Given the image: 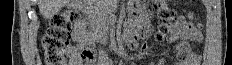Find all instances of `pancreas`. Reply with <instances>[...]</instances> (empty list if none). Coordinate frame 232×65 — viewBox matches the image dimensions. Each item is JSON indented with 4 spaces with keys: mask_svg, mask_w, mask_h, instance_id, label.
Instances as JSON below:
<instances>
[{
    "mask_svg": "<svg viewBox=\"0 0 232 65\" xmlns=\"http://www.w3.org/2000/svg\"><path fill=\"white\" fill-rule=\"evenodd\" d=\"M110 12H111V10L104 11V13L102 15L105 17V19L103 21H105V22L107 21L108 13H110ZM93 25L98 29H106V27L103 26L102 23H94Z\"/></svg>",
    "mask_w": 232,
    "mask_h": 65,
    "instance_id": "obj_1",
    "label": "pancreas"
}]
</instances>
